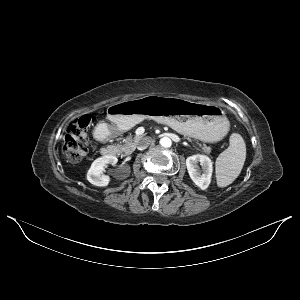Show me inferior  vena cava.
Returning a JSON list of instances; mask_svg holds the SVG:
<instances>
[{"label": "inferior vena cava", "instance_id": "obj_1", "mask_svg": "<svg viewBox=\"0 0 300 300\" xmlns=\"http://www.w3.org/2000/svg\"><path fill=\"white\" fill-rule=\"evenodd\" d=\"M154 143L153 139L151 137H143L140 139L137 149L138 150H144L146 149L149 145H152Z\"/></svg>", "mask_w": 300, "mask_h": 300}]
</instances>
